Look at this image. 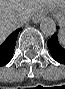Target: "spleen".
Returning a JSON list of instances; mask_svg holds the SVG:
<instances>
[{
  "instance_id": "obj_1",
  "label": "spleen",
  "mask_w": 65,
  "mask_h": 89,
  "mask_svg": "<svg viewBox=\"0 0 65 89\" xmlns=\"http://www.w3.org/2000/svg\"><path fill=\"white\" fill-rule=\"evenodd\" d=\"M59 39L61 42H65V34H64V30L61 29L60 32H59Z\"/></svg>"
}]
</instances>
